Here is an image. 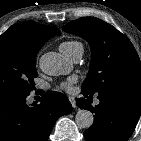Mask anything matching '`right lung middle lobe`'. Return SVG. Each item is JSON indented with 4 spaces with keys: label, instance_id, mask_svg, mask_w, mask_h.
<instances>
[{
    "label": "right lung middle lobe",
    "instance_id": "right-lung-middle-lobe-1",
    "mask_svg": "<svg viewBox=\"0 0 141 141\" xmlns=\"http://www.w3.org/2000/svg\"><path fill=\"white\" fill-rule=\"evenodd\" d=\"M40 47L21 40L0 41V93L29 94L34 89Z\"/></svg>",
    "mask_w": 141,
    "mask_h": 141
}]
</instances>
